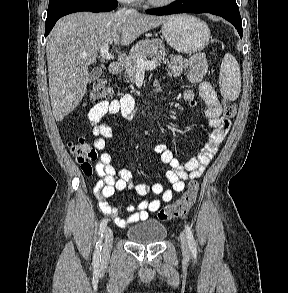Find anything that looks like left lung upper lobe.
Here are the masks:
<instances>
[{"label":"left lung upper lobe","mask_w":288,"mask_h":293,"mask_svg":"<svg viewBox=\"0 0 288 293\" xmlns=\"http://www.w3.org/2000/svg\"><path fill=\"white\" fill-rule=\"evenodd\" d=\"M192 1L201 2L203 0H192ZM221 1H224V2H227V3H230V4H236L235 0H221Z\"/></svg>","instance_id":"5c2ea615"}]
</instances>
